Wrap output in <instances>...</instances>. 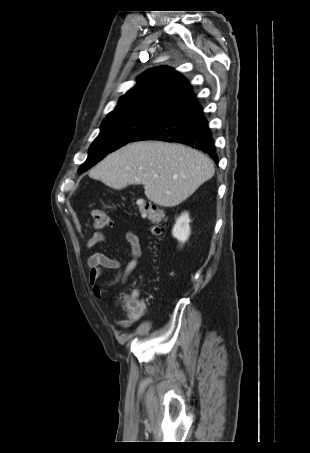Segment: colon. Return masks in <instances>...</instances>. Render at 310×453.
<instances>
[{
    "label": "colon",
    "instance_id": "1",
    "mask_svg": "<svg viewBox=\"0 0 310 453\" xmlns=\"http://www.w3.org/2000/svg\"><path fill=\"white\" fill-rule=\"evenodd\" d=\"M136 209L141 217L150 222L152 233L159 236L162 232L161 225L164 221L162 210L156 204L145 199L136 200ZM91 218L96 229H104L110 223L107 213L100 208L91 210ZM119 305L126 315L132 317H140L146 310L145 303L136 291L120 297Z\"/></svg>",
    "mask_w": 310,
    "mask_h": 453
}]
</instances>
